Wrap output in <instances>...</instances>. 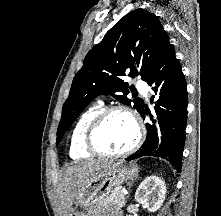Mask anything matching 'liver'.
I'll list each match as a JSON object with an SVG mask.
<instances>
[{
  "label": "liver",
  "instance_id": "liver-1",
  "mask_svg": "<svg viewBox=\"0 0 221 216\" xmlns=\"http://www.w3.org/2000/svg\"><path fill=\"white\" fill-rule=\"evenodd\" d=\"M111 161L84 160L65 169L58 187V195L64 209V216H68L77 194L90 179L111 165Z\"/></svg>",
  "mask_w": 221,
  "mask_h": 216
}]
</instances>
